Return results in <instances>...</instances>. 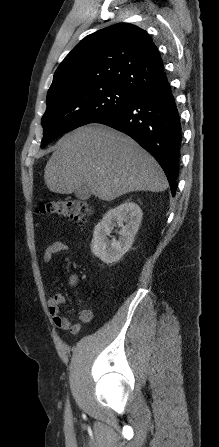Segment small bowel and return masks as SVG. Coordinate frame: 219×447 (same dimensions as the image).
Segmentation results:
<instances>
[{"instance_id":"obj_1","label":"small bowel","mask_w":219,"mask_h":447,"mask_svg":"<svg viewBox=\"0 0 219 447\" xmlns=\"http://www.w3.org/2000/svg\"><path fill=\"white\" fill-rule=\"evenodd\" d=\"M68 250V244L63 241L56 240L45 248L43 253V261L48 263L55 254L66 252ZM70 283L71 285H75V279L73 278ZM64 301L65 297L60 292H56L50 296L47 301L50 317L56 327L71 332H78L81 328V323H89L92 321L94 313L89 307L88 301L83 303L79 312L80 322H73L62 315L60 305L63 304Z\"/></svg>"}]
</instances>
